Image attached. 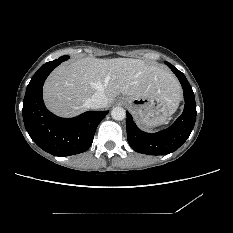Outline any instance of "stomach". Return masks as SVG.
<instances>
[{"mask_svg":"<svg viewBox=\"0 0 233 233\" xmlns=\"http://www.w3.org/2000/svg\"><path fill=\"white\" fill-rule=\"evenodd\" d=\"M131 113L138 117L141 125L155 127L164 124L177 107L167 103L160 97L123 96Z\"/></svg>","mask_w":233,"mask_h":233,"instance_id":"stomach-1","label":"stomach"}]
</instances>
